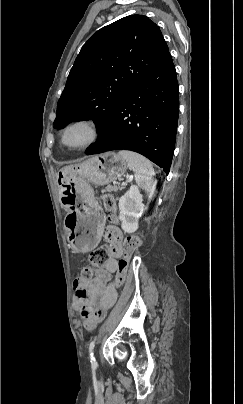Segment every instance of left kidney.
<instances>
[{
	"label": "left kidney",
	"instance_id": "1",
	"mask_svg": "<svg viewBox=\"0 0 243 404\" xmlns=\"http://www.w3.org/2000/svg\"><path fill=\"white\" fill-rule=\"evenodd\" d=\"M143 196L138 186H130V190L121 196L119 200V220L121 228L126 234H133L138 230V220L141 218L145 208Z\"/></svg>",
	"mask_w": 243,
	"mask_h": 404
}]
</instances>
